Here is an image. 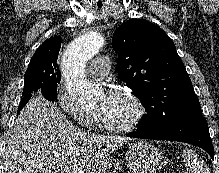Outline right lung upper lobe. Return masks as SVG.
Returning a JSON list of instances; mask_svg holds the SVG:
<instances>
[{
	"mask_svg": "<svg viewBox=\"0 0 219 173\" xmlns=\"http://www.w3.org/2000/svg\"><path fill=\"white\" fill-rule=\"evenodd\" d=\"M61 48V38L53 36L48 38L36 50L35 54L30 60L29 66L44 67L47 69H54L60 76V71L57 65V58Z\"/></svg>",
	"mask_w": 219,
	"mask_h": 173,
	"instance_id": "1",
	"label": "right lung upper lobe"
}]
</instances>
